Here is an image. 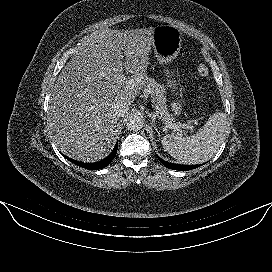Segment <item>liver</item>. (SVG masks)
<instances>
[{"label":"liver","mask_w":272,"mask_h":272,"mask_svg":"<svg viewBox=\"0 0 272 272\" xmlns=\"http://www.w3.org/2000/svg\"><path fill=\"white\" fill-rule=\"evenodd\" d=\"M154 30L103 29L85 38L59 74L48 109L62 153L83 162L107 156L118 120L113 106L131 105L145 86Z\"/></svg>","instance_id":"6515ba94"}]
</instances>
